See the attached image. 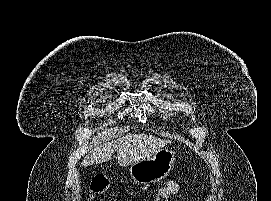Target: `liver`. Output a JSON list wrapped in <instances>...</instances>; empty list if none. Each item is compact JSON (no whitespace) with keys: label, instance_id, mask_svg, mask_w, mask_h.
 <instances>
[{"label":"liver","instance_id":"6515ba94","mask_svg":"<svg viewBox=\"0 0 271 201\" xmlns=\"http://www.w3.org/2000/svg\"><path fill=\"white\" fill-rule=\"evenodd\" d=\"M169 143V140L143 133L127 134L114 142H105L102 145H96L84 157L81 165L86 167L109 161L112 158V153L116 151L118 163L123 167H127L150 158Z\"/></svg>","mask_w":271,"mask_h":201}]
</instances>
